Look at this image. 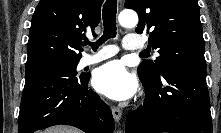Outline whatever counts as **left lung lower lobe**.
<instances>
[{
	"label": "left lung lower lobe",
	"instance_id": "0a47b994",
	"mask_svg": "<svg viewBox=\"0 0 221 133\" xmlns=\"http://www.w3.org/2000/svg\"><path fill=\"white\" fill-rule=\"evenodd\" d=\"M138 74L146 100L127 116V133H212L206 68L174 64L155 78Z\"/></svg>",
	"mask_w": 221,
	"mask_h": 133
}]
</instances>
